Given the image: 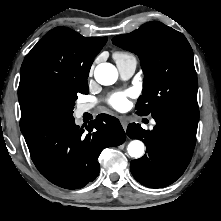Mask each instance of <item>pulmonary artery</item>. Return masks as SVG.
<instances>
[{"label":"pulmonary artery","mask_w":221,"mask_h":221,"mask_svg":"<svg viewBox=\"0 0 221 221\" xmlns=\"http://www.w3.org/2000/svg\"><path fill=\"white\" fill-rule=\"evenodd\" d=\"M119 74L122 79L126 80L130 78L137 67V60L135 57H127L123 59L115 60ZM94 107L93 104H83L79 106L78 113L83 114L85 112L90 111Z\"/></svg>","instance_id":"pulmonary-artery-1"}]
</instances>
